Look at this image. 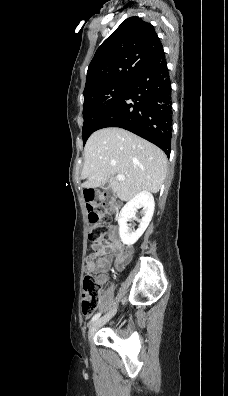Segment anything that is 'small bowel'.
Segmentation results:
<instances>
[{"label": "small bowel", "instance_id": "small-bowel-1", "mask_svg": "<svg viewBox=\"0 0 228 396\" xmlns=\"http://www.w3.org/2000/svg\"><path fill=\"white\" fill-rule=\"evenodd\" d=\"M92 252L87 256L85 262L86 271L89 273H100L111 262L112 254L117 256L118 266L124 265L132 254V248L124 245L117 237V231H111L110 241L99 245H92ZM104 278L102 277V280Z\"/></svg>", "mask_w": 228, "mask_h": 396}]
</instances>
